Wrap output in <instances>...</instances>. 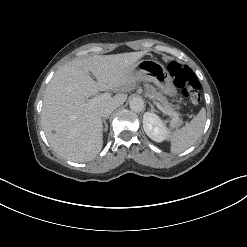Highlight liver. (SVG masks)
<instances>
[{"mask_svg": "<svg viewBox=\"0 0 247 247\" xmlns=\"http://www.w3.org/2000/svg\"><path fill=\"white\" fill-rule=\"evenodd\" d=\"M145 54L140 51L74 59L55 72L45 90L41 123L57 154L74 162H87L99 154L103 146L100 109L105 103L125 102L126 91L143 80V73L135 67ZM106 90L120 93L88 103V98Z\"/></svg>", "mask_w": 247, "mask_h": 247, "instance_id": "obj_1", "label": "liver"}]
</instances>
